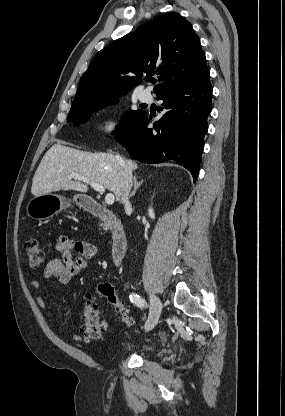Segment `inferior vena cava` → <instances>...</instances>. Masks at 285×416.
<instances>
[{
	"instance_id": "obj_1",
	"label": "inferior vena cava",
	"mask_w": 285,
	"mask_h": 416,
	"mask_svg": "<svg viewBox=\"0 0 285 416\" xmlns=\"http://www.w3.org/2000/svg\"><path fill=\"white\" fill-rule=\"evenodd\" d=\"M120 166H122V182H121V200L122 204H130L128 202L131 186H132V172L131 168L127 166L125 160L121 156H116Z\"/></svg>"
}]
</instances>
